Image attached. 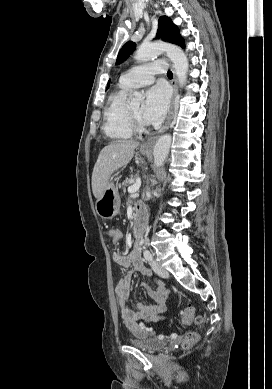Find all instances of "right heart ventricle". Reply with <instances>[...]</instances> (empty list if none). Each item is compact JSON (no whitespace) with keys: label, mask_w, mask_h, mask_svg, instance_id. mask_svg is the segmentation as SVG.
<instances>
[{"label":"right heart ventricle","mask_w":272,"mask_h":389,"mask_svg":"<svg viewBox=\"0 0 272 389\" xmlns=\"http://www.w3.org/2000/svg\"><path fill=\"white\" fill-rule=\"evenodd\" d=\"M130 88L119 83L107 100L104 111L103 131L113 140H126L132 137L133 130L128 119L126 96Z\"/></svg>","instance_id":"right-heart-ventricle-1"}]
</instances>
